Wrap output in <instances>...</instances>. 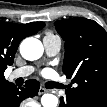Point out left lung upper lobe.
<instances>
[{
	"label": "left lung upper lobe",
	"mask_w": 107,
	"mask_h": 107,
	"mask_svg": "<svg viewBox=\"0 0 107 107\" xmlns=\"http://www.w3.org/2000/svg\"><path fill=\"white\" fill-rule=\"evenodd\" d=\"M65 41L63 72L82 96L107 92V33L95 21L72 18L55 22Z\"/></svg>",
	"instance_id": "5c2ea615"
}]
</instances>
